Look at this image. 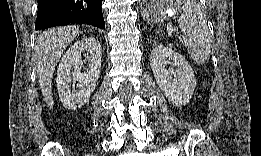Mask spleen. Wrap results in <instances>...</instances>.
I'll list each match as a JSON object with an SVG mask.
<instances>
[{"instance_id":"obj_1","label":"spleen","mask_w":261,"mask_h":156,"mask_svg":"<svg viewBox=\"0 0 261 156\" xmlns=\"http://www.w3.org/2000/svg\"><path fill=\"white\" fill-rule=\"evenodd\" d=\"M172 11L179 14L177 22L183 33L179 39L187 48L191 58L198 64L206 63L211 53L210 33L200 5L195 1H183L182 6L178 5Z\"/></svg>"}]
</instances>
